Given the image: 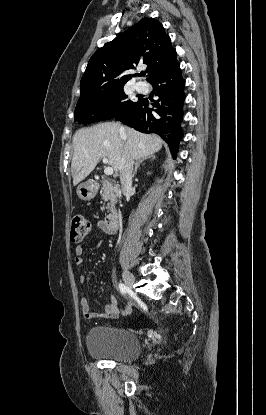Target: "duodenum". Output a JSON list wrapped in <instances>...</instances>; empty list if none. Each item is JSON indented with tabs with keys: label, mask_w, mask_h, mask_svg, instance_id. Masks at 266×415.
Returning a JSON list of instances; mask_svg holds the SVG:
<instances>
[{
	"label": "duodenum",
	"mask_w": 266,
	"mask_h": 415,
	"mask_svg": "<svg viewBox=\"0 0 266 415\" xmlns=\"http://www.w3.org/2000/svg\"><path fill=\"white\" fill-rule=\"evenodd\" d=\"M104 224L109 230H117L121 226L122 220L117 213H111L106 216Z\"/></svg>",
	"instance_id": "1"
}]
</instances>
